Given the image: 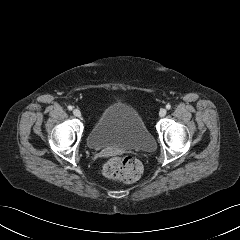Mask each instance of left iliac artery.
<instances>
[{
  "instance_id": "obj_1",
  "label": "left iliac artery",
  "mask_w": 240,
  "mask_h": 240,
  "mask_svg": "<svg viewBox=\"0 0 240 240\" xmlns=\"http://www.w3.org/2000/svg\"><path fill=\"white\" fill-rule=\"evenodd\" d=\"M166 109H168V110L171 109V105H170V104H167V105H166Z\"/></svg>"
}]
</instances>
